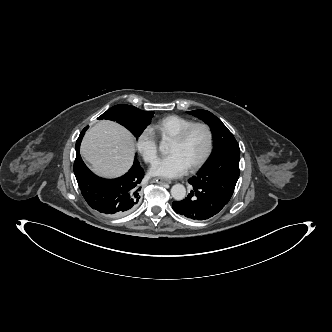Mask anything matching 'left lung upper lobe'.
Listing matches in <instances>:
<instances>
[{"mask_svg": "<svg viewBox=\"0 0 332 332\" xmlns=\"http://www.w3.org/2000/svg\"><path fill=\"white\" fill-rule=\"evenodd\" d=\"M207 123L213 133L214 150L206 165L193 178L202 181L212 191L230 200L239 178V145L226 126L211 112L205 110L189 111Z\"/></svg>", "mask_w": 332, "mask_h": 332, "instance_id": "5c2ea615", "label": "left lung upper lobe"}]
</instances>
